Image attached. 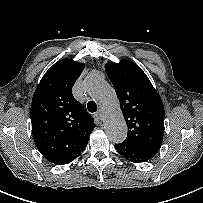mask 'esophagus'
Returning a JSON list of instances; mask_svg holds the SVG:
<instances>
[{
    "instance_id": "34e87169",
    "label": "esophagus",
    "mask_w": 203,
    "mask_h": 203,
    "mask_svg": "<svg viewBox=\"0 0 203 203\" xmlns=\"http://www.w3.org/2000/svg\"><path fill=\"white\" fill-rule=\"evenodd\" d=\"M103 110H99L97 113H96V117L99 119V120H103Z\"/></svg>"
}]
</instances>
